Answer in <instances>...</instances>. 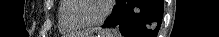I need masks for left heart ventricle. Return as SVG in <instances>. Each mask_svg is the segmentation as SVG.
<instances>
[{
	"mask_svg": "<svg viewBox=\"0 0 219 37\" xmlns=\"http://www.w3.org/2000/svg\"><path fill=\"white\" fill-rule=\"evenodd\" d=\"M78 9L74 17L79 21H92L101 16L105 8L103 0H77Z\"/></svg>",
	"mask_w": 219,
	"mask_h": 37,
	"instance_id": "1",
	"label": "left heart ventricle"
}]
</instances>
